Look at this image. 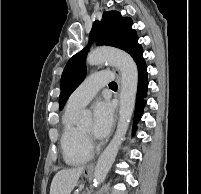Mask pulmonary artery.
<instances>
[{
    "label": "pulmonary artery",
    "mask_w": 201,
    "mask_h": 194,
    "mask_svg": "<svg viewBox=\"0 0 201 194\" xmlns=\"http://www.w3.org/2000/svg\"><path fill=\"white\" fill-rule=\"evenodd\" d=\"M114 79V74L101 71L88 76L70 95L67 105L74 108L84 107L100 90L101 87Z\"/></svg>",
    "instance_id": "1"
}]
</instances>
